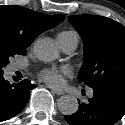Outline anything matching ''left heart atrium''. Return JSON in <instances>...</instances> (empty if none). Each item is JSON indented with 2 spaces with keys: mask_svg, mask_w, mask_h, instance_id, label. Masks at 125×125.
I'll use <instances>...</instances> for the list:
<instances>
[{
  "mask_svg": "<svg viewBox=\"0 0 125 125\" xmlns=\"http://www.w3.org/2000/svg\"><path fill=\"white\" fill-rule=\"evenodd\" d=\"M69 73L65 66H51L42 69L39 73L40 78L50 86H60L63 84L64 76Z\"/></svg>",
  "mask_w": 125,
  "mask_h": 125,
  "instance_id": "left-heart-atrium-1",
  "label": "left heart atrium"
}]
</instances>
